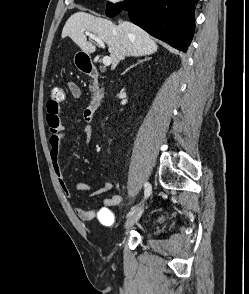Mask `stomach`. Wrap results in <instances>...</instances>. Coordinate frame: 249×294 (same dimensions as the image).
<instances>
[{"label": "stomach", "mask_w": 249, "mask_h": 294, "mask_svg": "<svg viewBox=\"0 0 249 294\" xmlns=\"http://www.w3.org/2000/svg\"><path fill=\"white\" fill-rule=\"evenodd\" d=\"M79 57H83V54H79V53L77 54V56H76V63H77Z\"/></svg>", "instance_id": "stomach-1"}]
</instances>
